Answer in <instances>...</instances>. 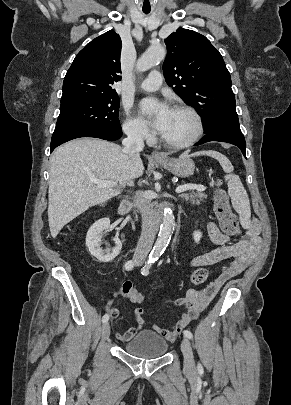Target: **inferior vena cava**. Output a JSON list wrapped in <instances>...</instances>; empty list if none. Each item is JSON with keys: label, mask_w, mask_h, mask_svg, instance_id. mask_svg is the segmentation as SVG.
I'll return each instance as SVG.
<instances>
[{"label": "inferior vena cava", "mask_w": 291, "mask_h": 405, "mask_svg": "<svg viewBox=\"0 0 291 405\" xmlns=\"http://www.w3.org/2000/svg\"><path fill=\"white\" fill-rule=\"evenodd\" d=\"M127 137L123 139V152L130 157L137 155L144 148L142 132L137 128H130L126 132ZM128 185L133 186L131 181ZM135 202L142 215V232L137 244L133 259L142 262L149 254L156 233V219L153 205L145 193H139L135 196Z\"/></svg>", "instance_id": "602c4592"}]
</instances>
